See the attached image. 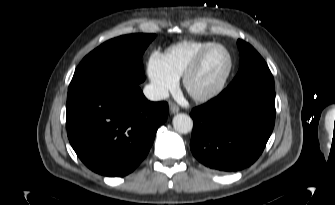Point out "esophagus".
Listing matches in <instances>:
<instances>
[{"mask_svg":"<svg viewBox=\"0 0 335 205\" xmlns=\"http://www.w3.org/2000/svg\"><path fill=\"white\" fill-rule=\"evenodd\" d=\"M169 111L171 114H176L179 112V107L175 105L174 103L169 104Z\"/></svg>","mask_w":335,"mask_h":205,"instance_id":"esophagus-1","label":"esophagus"}]
</instances>
